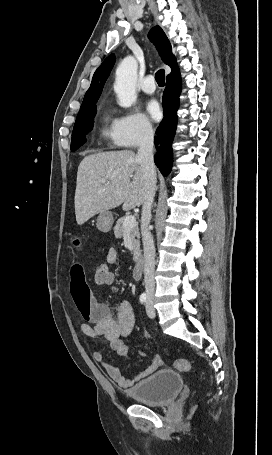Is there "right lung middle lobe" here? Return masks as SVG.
I'll use <instances>...</instances> for the list:
<instances>
[{
  "instance_id": "1",
  "label": "right lung middle lobe",
  "mask_w": 272,
  "mask_h": 455,
  "mask_svg": "<svg viewBox=\"0 0 272 455\" xmlns=\"http://www.w3.org/2000/svg\"><path fill=\"white\" fill-rule=\"evenodd\" d=\"M96 113V102L80 108L71 140V151H76L86 141V135L93 128V119Z\"/></svg>"
}]
</instances>
